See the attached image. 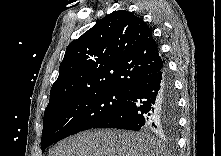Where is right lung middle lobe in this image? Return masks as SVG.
Wrapping results in <instances>:
<instances>
[{
  "label": "right lung middle lobe",
  "instance_id": "obj_1",
  "mask_svg": "<svg viewBox=\"0 0 221 156\" xmlns=\"http://www.w3.org/2000/svg\"><path fill=\"white\" fill-rule=\"evenodd\" d=\"M127 97L128 92L125 91H96L72 96L46 108L42 152L65 137L93 128L120 108Z\"/></svg>",
  "mask_w": 221,
  "mask_h": 156
}]
</instances>
